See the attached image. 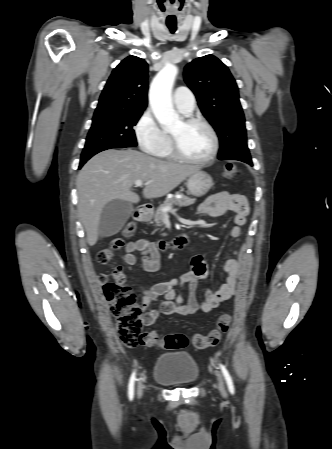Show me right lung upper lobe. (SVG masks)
<instances>
[{"instance_id":"obj_1","label":"right lung upper lobe","mask_w":332,"mask_h":449,"mask_svg":"<svg viewBox=\"0 0 332 449\" xmlns=\"http://www.w3.org/2000/svg\"><path fill=\"white\" fill-rule=\"evenodd\" d=\"M148 64L128 56L113 70L94 115L113 112H143L147 106Z\"/></svg>"}]
</instances>
